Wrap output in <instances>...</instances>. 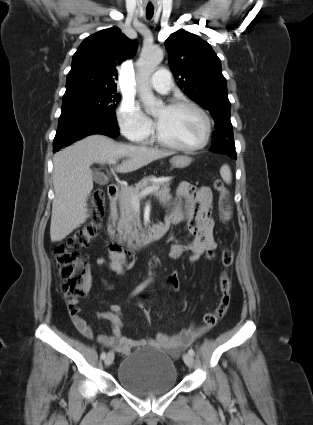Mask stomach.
Instances as JSON below:
<instances>
[{"instance_id":"obj_1","label":"stomach","mask_w":313,"mask_h":425,"mask_svg":"<svg viewBox=\"0 0 313 425\" xmlns=\"http://www.w3.org/2000/svg\"><path fill=\"white\" fill-rule=\"evenodd\" d=\"M192 158L187 155H176L171 158L170 163L172 168H185L190 165Z\"/></svg>"}]
</instances>
